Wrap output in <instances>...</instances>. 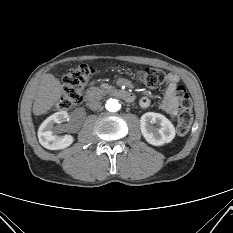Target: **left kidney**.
I'll list each match as a JSON object with an SVG mask.
<instances>
[{
	"mask_svg": "<svg viewBox=\"0 0 233 233\" xmlns=\"http://www.w3.org/2000/svg\"><path fill=\"white\" fill-rule=\"evenodd\" d=\"M153 124H157L158 127ZM140 129L145 140L154 146L171 142L176 134L171 121L164 115L154 112H147L141 116Z\"/></svg>",
	"mask_w": 233,
	"mask_h": 233,
	"instance_id": "5707ae66",
	"label": "left kidney"
}]
</instances>
